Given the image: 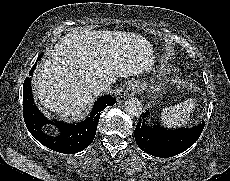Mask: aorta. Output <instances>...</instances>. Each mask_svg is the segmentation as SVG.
Wrapping results in <instances>:
<instances>
[{
    "label": "aorta",
    "instance_id": "obj_1",
    "mask_svg": "<svg viewBox=\"0 0 230 181\" xmlns=\"http://www.w3.org/2000/svg\"><path fill=\"white\" fill-rule=\"evenodd\" d=\"M125 112L132 117H140L143 113L141 102L134 97L128 98L124 103Z\"/></svg>",
    "mask_w": 230,
    "mask_h": 181
}]
</instances>
